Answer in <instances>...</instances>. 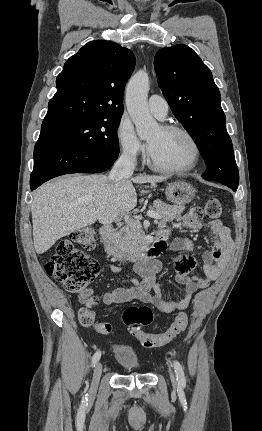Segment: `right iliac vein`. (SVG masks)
<instances>
[{"mask_svg": "<svg viewBox=\"0 0 262 431\" xmlns=\"http://www.w3.org/2000/svg\"><path fill=\"white\" fill-rule=\"evenodd\" d=\"M102 374V364L100 362L96 363L93 373V387L97 388L99 380Z\"/></svg>", "mask_w": 262, "mask_h": 431, "instance_id": "1", "label": "right iliac vein"}]
</instances>
